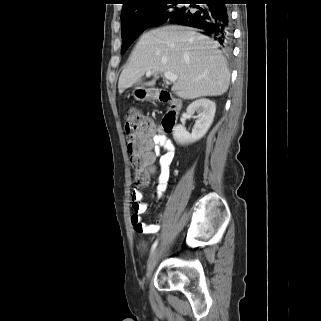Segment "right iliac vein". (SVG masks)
Wrapping results in <instances>:
<instances>
[{
  "label": "right iliac vein",
  "instance_id": "right-iliac-vein-1",
  "mask_svg": "<svg viewBox=\"0 0 321 321\" xmlns=\"http://www.w3.org/2000/svg\"><path fill=\"white\" fill-rule=\"evenodd\" d=\"M161 249L162 247H158L151 255L150 259L148 260V264H147V273H146V277L147 279L150 278L154 268H155V265H156V262L158 260V257L161 253Z\"/></svg>",
  "mask_w": 321,
  "mask_h": 321
}]
</instances>
